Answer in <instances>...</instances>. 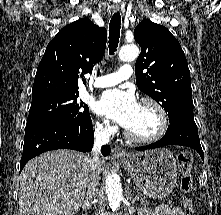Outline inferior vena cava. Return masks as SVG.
I'll return each mask as SVG.
<instances>
[{"instance_id":"602c4592","label":"inferior vena cava","mask_w":221,"mask_h":215,"mask_svg":"<svg viewBox=\"0 0 221 215\" xmlns=\"http://www.w3.org/2000/svg\"><path fill=\"white\" fill-rule=\"evenodd\" d=\"M109 143V132L107 128L99 127L95 131V144L93 148L92 157L89 158L90 163V177L88 179L87 192L85 202L89 203L94 198L97 192V185L99 180V160L100 149L104 144Z\"/></svg>"}]
</instances>
